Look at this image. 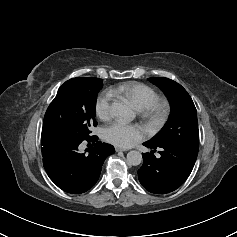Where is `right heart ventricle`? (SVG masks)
<instances>
[{"label":"right heart ventricle","mask_w":237,"mask_h":237,"mask_svg":"<svg viewBox=\"0 0 237 237\" xmlns=\"http://www.w3.org/2000/svg\"><path fill=\"white\" fill-rule=\"evenodd\" d=\"M112 92L128 98L140 110L147 108L158 97L153 88L136 81L120 83L112 89Z\"/></svg>","instance_id":"1"}]
</instances>
